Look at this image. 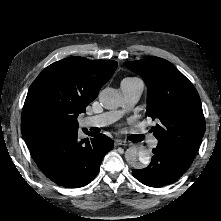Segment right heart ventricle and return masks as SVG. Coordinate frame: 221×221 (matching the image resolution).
I'll return each mask as SVG.
<instances>
[{"label": "right heart ventricle", "mask_w": 221, "mask_h": 221, "mask_svg": "<svg viewBox=\"0 0 221 221\" xmlns=\"http://www.w3.org/2000/svg\"><path fill=\"white\" fill-rule=\"evenodd\" d=\"M123 80L133 81V80H137V79L136 78H125Z\"/></svg>", "instance_id": "obj_1"}]
</instances>
